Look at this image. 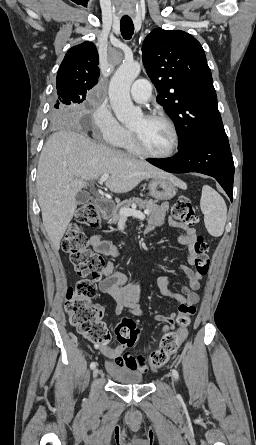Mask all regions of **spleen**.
<instances>
[{
  "instance_id": "spleen-1",
  "label": "spleen",
  "mask_w": 256,
  "mask_h": 445,
  "mask_svg": "<svg viewBox=\"0 0 256 445\" xmlns=\"http://www.w3.org/2000/svg\"><path fill=\"white\" fill-rule=\"evenodd\" d=\"M200 208L204 214V223L208 233L214 237L221 236L227 218V206L222 196L212 187L204 185Z\"/></svg>"
}]
</instances>
